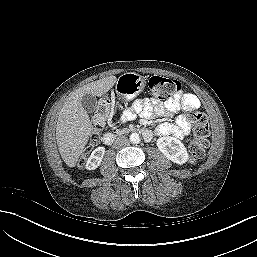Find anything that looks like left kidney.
I'll list each match as a JSON object with an SVG mask.
<instances>
[{"label": "left kidney", "mask_w": 257, "mask_h": 257, "mask_svg": "<svg viewBox=\"0 0 257 257\" xmlns=\"http://www.w3.org/2000/svg\"><path fill=\"white\" fill-rule=\"evenodd\" d=\"M158 149L172 162L182 165L187 162L189 155L184 144L177 138L167 136L157 139Z\"/></svg>", "instance_id": "5707ae66"}]
</instances>
